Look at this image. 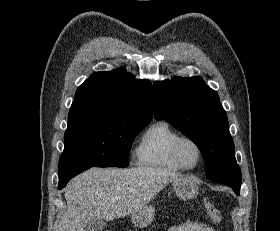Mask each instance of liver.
<instances>
[{
	"label": "liver",
	"mask_w": 280,
	"mask_h": 231,
	"mask_svg": "<svg viewBox=\"0 0 280 231\" xmlns=\"http://www.w3.org/2000/svg\"><path fill=\"white\" fill-rule=\"evenodd\" d=\"M179 175L161 167H91L64 187L67 209L59 231H84L92 217L111 221L137 213Z\"/></svg>",
	"instance_id": "obj_1"
}]
</instances>
